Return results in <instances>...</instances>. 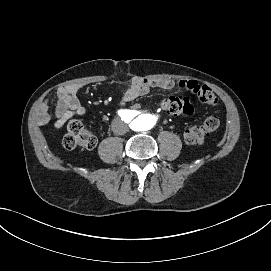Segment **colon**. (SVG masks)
<instances>
[{
	"label": "colon",
	"instance_id": "1",
	"mask_svg": "<svg viewBox=\"0 0 271 271\" xmlns=\"http://www.w3.org/2000/svg\"><path fill=\"white\" fill-rule=\"evenodd\" d=\"M196 95L203 103L214 107L219 106L217 96L207 86H201ZM160 107L174 115L191 114L194 111L193 103L182 96H167L161 100ZM219 124V117L216 114L210 115L201 124L188 128L184 133V140L189 145H200L207 135L219 127ZM63 144L68 149H92L96 145V138L80 121L73 120L67 126Z\"/></svg>",
	"mask_w": 271,
	"mask_h": 271
}]
</instances>
